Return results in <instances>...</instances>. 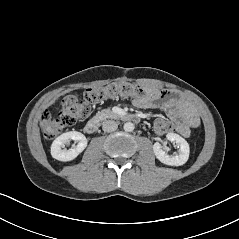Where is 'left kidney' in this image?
Here are the masks:
<instances>
[{
	"mask_svg": "<svg viewBox=\"0 0 239 239\" xmlns=\"http://www.w3.org/2000/svg\"><path fill=\"white\" fill-rule=\"evenodd\" d=\"M167 139L171 142H175L180 147V153L178 155H168L159 142H155L153 145V151L156 158L169 166H181L185 164L189 158V144L187 141L176 133H168Z\"/></svg>",
	"mask_w": 239,
	"mask_h": 239,
	"instance_id": "left-kidney-1",
	"label": "left kidney"
}]
</instances>
